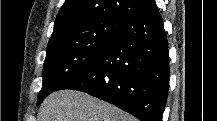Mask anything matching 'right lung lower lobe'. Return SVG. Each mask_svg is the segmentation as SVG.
<instances>
[{
    "mask_svg": "<svg viewBox=\"0 0 217 121\" xmlns=\"http://www.w3.org/2000/svg\"><path fill=\"white\" fill-rule=\"evenodd\" d=\"M169 79L168 41L153 1L124 23L90 65L57 90L83 91L141 121H161Z\"/></svg>",
    "mask_w": 217,
    "mask_h": 121,
    "instance_id": "98d812e1",
    "label": "right lung lower lobe"
}]
</instances>
